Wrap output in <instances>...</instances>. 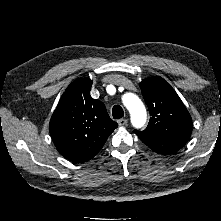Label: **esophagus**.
I'll use <instances>...</instances> for the list:
<instances>
[{
    "label": "esophagus",
    "instance_id": "34e87169",
    "mask_svg": "<svg viewBox=\"0 0 221 221\" xmlns=\"http://www.w3.org/2000/svg\"><path fill=\"white\" fill-rule=\"evenodd\" d=\"M118 124H119V126H124V125H126V124H127V119H119V120H118Z\"/></svg>",
    "mask_w": 221,
    "mask_h": 221
}]
</instances>
